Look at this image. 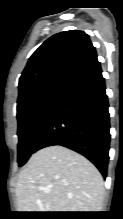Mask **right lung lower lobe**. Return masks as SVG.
<instances>
[{
  "instance_id": "right-lung-lower-lobe-1",
  "label": "right lung lower lobe",
  "mask_w": 123,
  "mask_h": 219,
  "mask_svg": "<svg viewBox=\"0 0 123 219\" xmlns=\"http://www.w3.org/2000/svg\"><path fill=\"white\" fill-rule=\"evenodd\" d=\"M100 63L73 76L35 143V152L53 145L89 159L105 178L109 161L110 118Z\"/></svg>"
}]
</instances>
